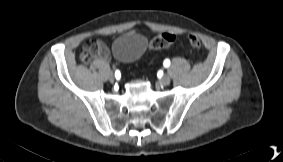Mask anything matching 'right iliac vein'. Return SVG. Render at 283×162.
<instances>
[{
    "instance_id": "63e3f726",
    "label": "right iliac vein",
    "mask_w": 283,
    "mask_h": 162,
    "mask_svg": "<svg viewBox=\"0 0 283 162\" xmlns=\"http://www.w3.org/2000/svg\"><path fill=\"white\" fill-rule=\"evenodd\" d=\"M109 81H110V82H113V81H114V74H113V73H110V74H109Z\"/></svg>"
}]
</instances>
